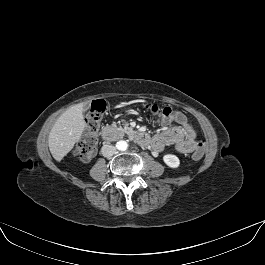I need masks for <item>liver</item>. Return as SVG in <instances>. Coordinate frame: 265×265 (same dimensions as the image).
<instances>
[{
  "label": "liver",
  "mask_w": 265,
  "mask_h": 265,
  "mask_svg": "<svg viewBox=\"0 0 265 265\" xmlns=\"http://www.w3.org/2000/svg\"><path fill=\"white\" fill-rule=\"evenodd\" d=\"M83 107L82 103L72 106L60 115L51 128L48 146L56 161H61L80 140L85 128Z\"/></svg>",
  "instance_id": "liver-1"
}]
</instances>
